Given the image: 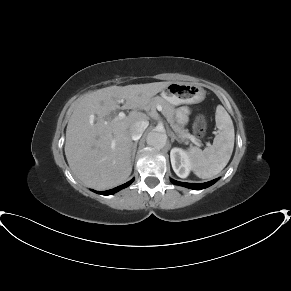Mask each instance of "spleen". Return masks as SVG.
Listing matches in <instances>:
<instances>
[{"label":"spleen","mask_w":291,"mask_h":291,"mask_svg":"<svg viewBox=\"0 0 291 291\" xmlns=\"http://www.w3.org/2000/svg\"><path fill=\"white\" fill-rule=\"evenodd\" d=\"M215 120L218 134L213 140V145L204 150L197 147L188 149L191 168L202 179L212 178L220 173L228 164L234 148L233 122L222 105H218L216 108Z\"/></svg>","instance_id":"spleen-1"}]
</instances>
